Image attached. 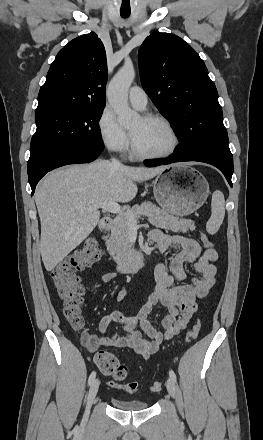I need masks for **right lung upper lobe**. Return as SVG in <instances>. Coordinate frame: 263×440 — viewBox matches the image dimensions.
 Wrapping results in <instances>:
<instances>
[{
  "label": "right lung upper lobe",
  "mask_w": 263,
  "mask_h": 440,
  "mask_svg": "<svg viewBox=\"0 0 263 440\" xmlns=\"http://www.w3.org/2000/svg\"><path fill=\"white\" fill-rule=\"evenodd\" d=\"M107 60L95 33L79 36L59 51L38 95L37 109L104 107Z\"/></svg>",
  "instance_id": "cb5924a9"
}]
</instances>
